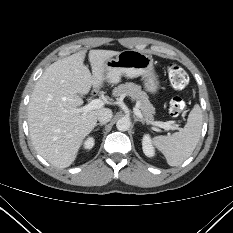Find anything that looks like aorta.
<instances>
[{
  "label": "aorta",
  "mask_w": 233,
  "mask_h": 233,
  "mask_svg": "<svg viewBox=\"0 0 233 233\" xmlns=\"http://www.w3.org/2000/svg\"><path fill=\"white\" fill-rule=\"evenodd\" d=\"M130 124L128 118H120L116 123V127L119 131H127L130 128Z\"/></svg>",
  "instance_id": "762f6f07"
}]
</instances>
